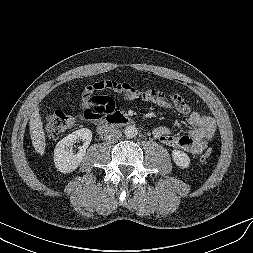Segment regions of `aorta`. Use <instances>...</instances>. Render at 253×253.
I'll return each instance as SVG.
<instances>
[{"label":"aorta","instance_id":"obj_1","mask_svg":"<svg viewBox=\"0 0 253 253\" xmlns=\"http://www.w3.org/2000/svg\"><path fill=\"white\" fill-rule=\"evenodd\" d=\"M124 134L128 139H132L137 136L138 130L134 125H129L125 128Z\"/></svg>","mask_w":253,"mask_h":253}]
</instances>
